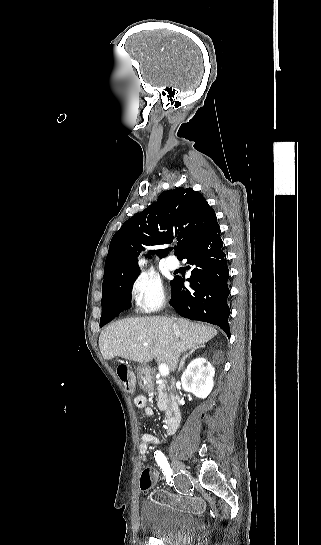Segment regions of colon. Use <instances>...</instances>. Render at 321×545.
I'll list each match as a JSON object with an SVG mask.
<instances>
[{
  "mask_svg": "<svg viewBox=\"0 0 321 545\" xmlns=\"http://www.w3.org/2000/svg\"><path fill=\"white\" fill-rule=\"evenodd\" d=\"M117 374L128 391L135 387L134 377L126 366H119ZM154 477L150 469H144L140 476V488L144 492H151L152 497L160 504L182 509L189 512L201 513L204 504L201 499L186 494H174L161 490H153Z\"/></svg>",
  "mask_w": 321,
  "mask_h": 545,
  "instance_id": "1",
  "label": "colon"
}]
</instances>
